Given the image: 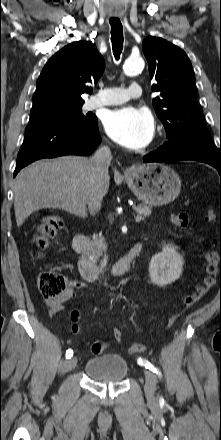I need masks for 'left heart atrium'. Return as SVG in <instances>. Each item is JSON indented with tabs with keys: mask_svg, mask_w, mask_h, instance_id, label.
<instances>
[{
	"mask_svg": "<svg viewBox=\"0 0 221 440\" xmlns=\"http://www.w3.org/2000/svg\"><path fill=\"white\" fill-rule=\"evenodd\" d=\"M104 126L114 141L130 149L147 145L154 132L153 118L143 108L124 107L111 111L105 118Z\"/></svg>",
	"mask_w": 221,
	"mask_h": 440,
	"instance_id": "obj_1",
	"label": "left heart atrium"
}]
</instances>
